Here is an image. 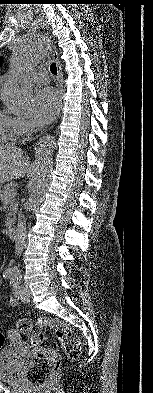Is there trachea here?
<instances>
[{
  "label": "trachea",
  "instance_id": "trachea-1",
  "mask_svg": "<svg viewBox=\"0 0 153 393\" xmlns=\"http://www.w3.org/2000/svg\"><path fill=\"white\" fill-rule=\"evenodd\" d=\"M50 71L52 74L57 75V66L56 63L51 64Z\"/></svg>",
  "mask_w": 153,
  "mask_h": 393
}]
</instances>
